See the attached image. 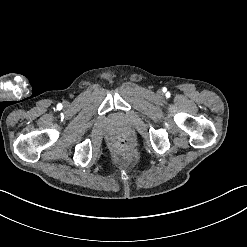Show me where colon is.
Masks as SVG:
<instances>
[{
	"label": "colon",
	"instance_id": "obj_1",
	"mask_svg": "<svg viewBox=\"0 0 247 247\" xmlns=\"http://www.w3.org/2000/svg\"><path fill=\"white\" fill-rule=\"evenodd\" d=\"M113 147L119 153L131 151L132 140L126 134H119L113 140Z\"/></svg>",
	"mask_w": 247,
	"mask_h": 247
}]
</instances>
